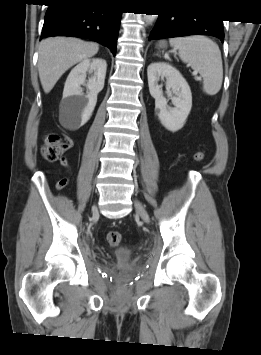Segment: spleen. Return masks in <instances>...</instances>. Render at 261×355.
<instances>
[{
	"label": "spleen",
	"instance_id": "spleen-1",
	"mask_svg": "<svg viewBox=\"0 0 261 355\" xmlns=\"http://www.w3.org/2000/svg\"><path fill=\"white\" fill-rule=\"evenodd\" d=\"M178 50L180 59L191 66L203 78V92L217 94L223 81V65L218 45L201 35L177 37L169 40Z\"/></svg>",
	"mask_w": 261,
	"mask_h": 355
}]
</instances>
